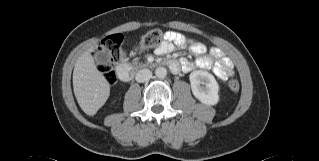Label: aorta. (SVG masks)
Segmentation results:
<instances>
[{"label":"aorta","instance_id":"1","mask_svg":"<svg viewBox=\"0 0 319 161\" xmlns=\"http://www.w3.org/2000/svg\"><path fill=\"white\" fill-rule=\"evenodd\" d=\"M155 75L158 78H165L167 75V70L164 67H158L155 69Z\"/></svg>","mask_w":319,"mask_h":161}]
</instances>
